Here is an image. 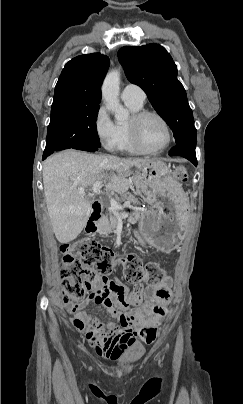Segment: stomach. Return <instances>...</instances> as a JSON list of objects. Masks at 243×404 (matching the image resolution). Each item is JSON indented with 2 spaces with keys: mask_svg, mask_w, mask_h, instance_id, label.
<instances>
[{
  "mask_svg": "<svg viewBox=\"0 0 243 404\" xmlns=\"http://www.w3.org/2000/svg\"><path fill=\"white\" fill-rule=\"evenodd\" d=\"M137 192L153 210L139 219V231L148 244L162 252L176 249L184 238L189 202L182 186L160 159L138 168L132 177Z\"/></svg>",
  "mask_w": 243,
  "mask_h": 404,
  "instance_id": "1",
  "label": "stomach"
}]
</instances>
